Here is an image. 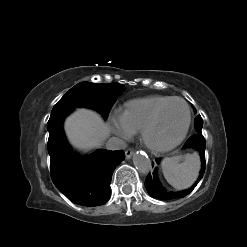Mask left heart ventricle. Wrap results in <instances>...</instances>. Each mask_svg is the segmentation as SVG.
Returning a JSON list of instances; mask_svg holds the SVG:
<instances>
[{
    "instance_id": "left-heart-ventricle-1",
    "label": "left heart ventricle",
    "mask_w": 247,
    "mask_h": 247,
    "mask_svg": "<svg viewBox=\"0 0 247 247\" xmlns=\"http://www.w3.org/2000/svg\"><path fill=\"white\" fill-rule=\"evenodd\" d=\"M187 110L182 102L169 104L161 113L149 137L155 143H167L176 139L184 129Z\"/></svg>"
}]
</instances>
